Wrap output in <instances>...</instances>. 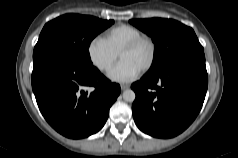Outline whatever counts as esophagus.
Instances as JSON below:
<instances>
[{"label": "esophagus", "mask_w": 238, "mask_h": 158, "mask_svg": "<svg viewBox=\"0 0 238 158\" xmlns=\"http://www.w3.org/2000/svg\"><path fill=\"white\" fill-rule=\"evenodd\" d=\"M120 87H121V90H126V89L129 88V85H127V84H122Z\"/></svg>", "instance_id": "1"}]
</instances>
